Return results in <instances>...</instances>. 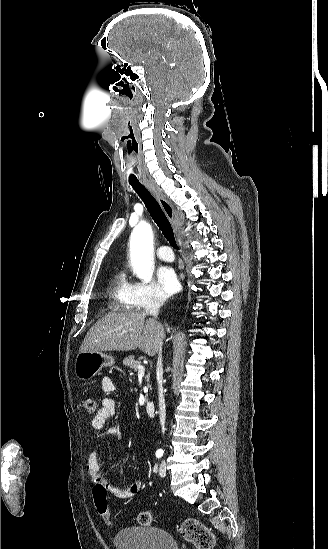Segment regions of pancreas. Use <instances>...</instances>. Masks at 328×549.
Returning a JSON list of instances; mask_svg holds the SVG:
<instances>
[{"instance_id": "obj_1", "label": "pancreas", "mask_w": 328, "mask_h": 549, "mask_svg": "<svg viewBox=\"0 0 328 549\" xmlns=\"http://www.w3.org/2000/svg\"><path fill=\"white\" fill-rule=\"evenodd\" d=\"M140 363L141 361H138V359H135L133 355H130V357H125L123 361V365H125V367H130V369H134V371H137L138 367H140ZM145 379L148 383V387H150L149 385L150 373L146 375ZM146 401H148L147 397H146Z\"/></svg>"}]
</instances>
